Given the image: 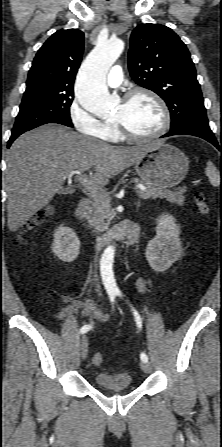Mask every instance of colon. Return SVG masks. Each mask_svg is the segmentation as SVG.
Here are the masks:
<instances>
[{"mask_svg":"<svg viewBox=\"0 0 222 447\" xmlns=\"http://www.w3.org/2000/svg\"><path fill=\"white\" fill-rule=\"evenodd\" d=\"M195 201H196V204H197V206H198V209H199L200 213H201L202 215H207L209 209H208V206H207V204H206V202H205V198H204V195L202 194V192H197V193L195 194ZM45 216H46V214H40V215H37L36 217H34V218H33V219L26 225V230H31V229H33L34 227H36V226H38L39 224H41V223L43 222ZM102 362H103V356H102V354H101V353H96V354L93 356V363L99 365V364H101Z\"/></svg>","mask_w":222,"mask_h":447,"instance_id":"colon-1","label":"colon"}]
</instances>
